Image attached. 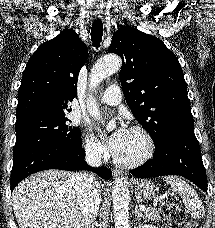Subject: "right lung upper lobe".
Returning a JSON list of instances; mask_svg holds the SVG:
<instances>
[{
    "label": "right lung upper lobe",
    "mask_w": 215,
    "mask_h": 228,
    "mask_svg": "<svg viewBox=\"0 0 215 228\" xmlns=\"http://www.w3.org/2000/svg\"><path fill=\"white\" fill-rule=\"evenodd\" d=\"M88 51L74 30L43 43L30 57L18 91L17 121L71 112L80 69Z\"/></svg>",
    "instance_id": "1"
}]
</instances>
